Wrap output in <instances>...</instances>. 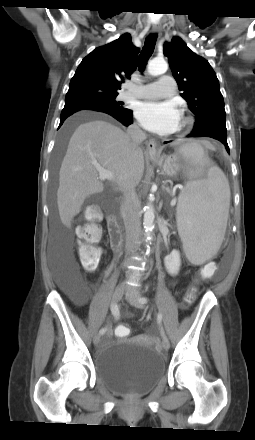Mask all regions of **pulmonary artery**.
I'll use <instances>...</instances> for the list:
<instances>
[{"mask_svg": "<svg viewBox=\"0 0 255 440\" xmlns=\"http://www.w3.org/2000/svg\"><path fill=\"white\" fill-rule=\"evenodd\" d=\"M175 81L170 75H161L159 80L154 83H149L140 88H130L123 93V99L138 98V99H158L168 97L174 94Z\"/></svg>", "mask_w": 255, "mask_h": 440, "instance_id": "1", "label": "pulmonary artery"}]
</instances>
